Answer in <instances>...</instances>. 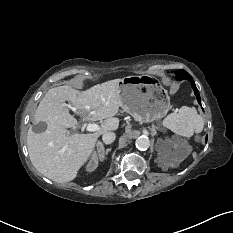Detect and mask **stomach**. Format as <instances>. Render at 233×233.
Returning a JSON list of instances; mask_svg holds the SVG:
<instances>
[{"instance_id":"1","label":"stomach","mask_w":233,"mask_h":233,"mask_svg":"<svg viewBox=\"0 0 233 233\" xmlns=\"http://www.w3.org/2000/svg\"><path fill=\"white\" fill-rule=\"evenodd\" d=\"M119 97L122 109L140 123L163 118L170 102L167 91L152 75H131L121 79Z\"/></svg>"}]
</instances>
